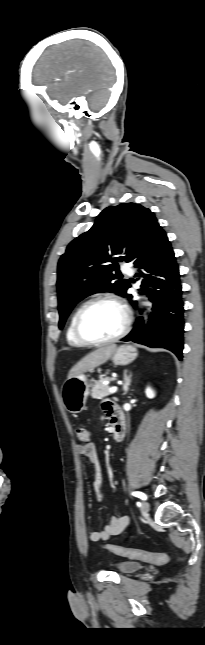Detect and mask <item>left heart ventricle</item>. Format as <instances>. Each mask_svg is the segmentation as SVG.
Wrapping results in <instances>:
<instances>
[{"label":"left heart ventricle","instance_id":"obj_1","mask_svg":"<svg viewBox=\"0 0 205 645\" xmlns=\"http://www.w3.org/2000/svg\"><path fill=\"white\" fill-rule=\"evenodd\" d=\"M123 313L112 303H100L90 307L83 316L82 330L91 339L109 338L123 326Z\"/></svg>","mask_w":205,"mask_h":645}]
</instances>
